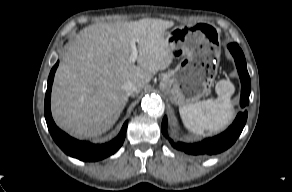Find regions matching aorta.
<instances>
[{
  "mask_svg": "<svg viewBox=\"0 0 292 192\" xmlns=\"http://www.w3.org/2000/svg\"><path fill=\"white\" fill-rule=\"evenodd\" d=\"M141 107L146 113L154 117H159L164 112L162 100L160 99V97L155 95H148L143 98Z\"/></svg>",
  "mask_w": 292,
  "mask_h": 192,
  "instance_id": "1",
  "label": "aorta"
}]
</instances>
